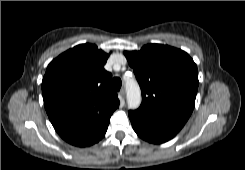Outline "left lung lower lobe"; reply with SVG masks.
I'll list each match as a JSON object with an SVG mask.
<instances>
[{"label":"left lung lower lobe","instance_id":"0a47b994","mask_svg":"<svg viewBox=\"0 0 245 170\" xmlns=\"http://www.w3.org/2000/svg\"><path fill=\"white\" fill-rule=\"evenodd\" d=\"M129 118L137 135L143 140L155 144L170 140L182 128L136 111H129Z\"/></svg>","mask_w":245,"mask_h":170}]
</instances>
